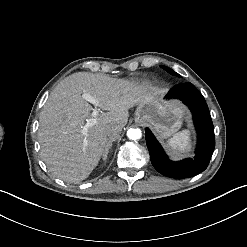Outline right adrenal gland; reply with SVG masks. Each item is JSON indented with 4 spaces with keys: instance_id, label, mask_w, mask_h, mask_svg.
I'll use <instances>...</instances> for the list:
<instances>
[{
    "instance_id": "1",
    "label": "right adrenal gland",
    "mask_w": 247,
    "mask_h": 247,
    "mask_svg": "<svg viewBox=\"0 0 247 247\" xmlns=\"http://www.w3.org/2000/svg\"><path fill=\"white\" fill-rule=\"evenodd\" d=\"M112 146H113V141H109L102 150L101 155L103 156L104 161L108 159L109 150Z\"/></svg>"
}]
</instances>
